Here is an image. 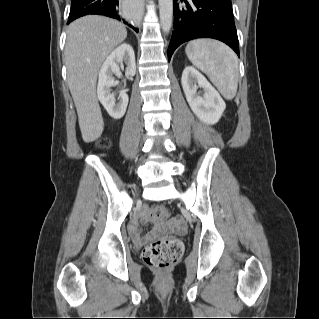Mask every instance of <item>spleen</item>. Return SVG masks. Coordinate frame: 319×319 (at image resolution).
Here are the masks:
<instances>
[{
	"mask_svg": "<svg viewBox=\"0 0 319 319\" xmlns=\"http://www.w3.org/2000/svg\"><path fill=\"white\" fill-rule=\"evenodd\" d=\"M185 52L191 63L209 77L225 99L235 97L238 59L228 46L216 40L197 39L187 44Z\"/></svg>",
	"mask_w": 319,
	"mask_h": 319,
	"instance_id": "1",
	"label": "spleen"
}]
</instances>
